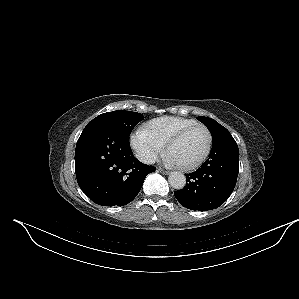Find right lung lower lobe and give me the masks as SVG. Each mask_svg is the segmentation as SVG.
Returning a JSON list of instances; mask_svg holds the SVG:
<instances>
[{"instance_id":"1","label":"right lung lower lobe","mask_w":299,"mask_h":299,"mask_svg":"<svg viewBox=\"0 0 299 299\" xmlns=\"http://www.w3.org/2000/svg\"><path fill=\"white\" fill-rule=\"evenodd\" d=\"M155 170L133 156L129 138L108 126L87 125L77 141V182L96 204H128L139 193L147 174Z\"/></svg>"}]
</instances>
